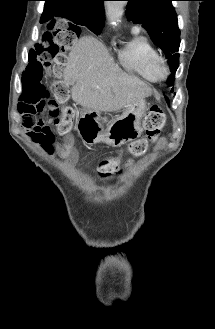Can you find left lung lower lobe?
I'll return each mask as SVG.
<instances>
[{
	"mask_svg": "<svg viewBox=\"0 0 215 329\" xmlns=\"http://www.w3.org/2000/svg\"><path fill=\"white\" fill-rule=\"evenodd\" d=\"M165 99H166V102H167V103H169V100H168V98H167V97H165Z\"/></svg>",
	"mask_w": 215,
	"mask_h": 329,
	"instance_id": "left-lung-lower-lobe-1",
	"label": "left lung lower lobe"
}]
</instances>
